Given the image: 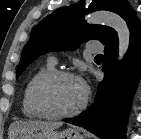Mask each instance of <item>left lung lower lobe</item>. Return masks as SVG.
<instances>
[{
	"instance_id": "left-lung-lower-lobe-1",
	"label": "left lung lower lobe",
	"mask_w": 141,
	"mask_h": 139,
	"mask_svg": "<svg viewBox=\"0 0 141 139\" xmlns=\"http://www.w3.org/2000/svg\"><path fill=\"white\" fill-rule=\"evenodd\" d=\"M130 44L121 62H117L118 37L105 45L102 71L94 103L82 114L63 121L82 126L102 139H125L132 98L141 75V22L130 27Z\"/></svg>"
}]
</instances>
